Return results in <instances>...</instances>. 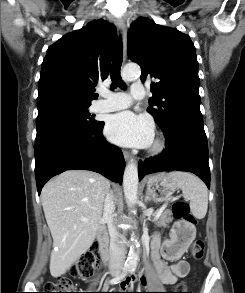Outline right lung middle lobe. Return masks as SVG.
<instances>
[{
    "label": "right lung middle lobe",
    "mask_w": 245,
    "mask_h": 293,
    "mask_svg": "<svg viewBox=\"0 0 245 293\" xmlns=\"http://www.w3.org/2000/svg\"><path fill=\"white\" fill-rule=\"evenodd\" d=\"M90 105L58 103L38 108L35 146L64 131L87 130L99 123L87 108Z\"/></svg>",
    "instance_id": "right-lung-middle-lobe-1"
}]
</instances>
